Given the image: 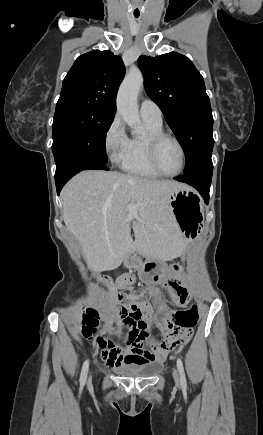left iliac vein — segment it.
I'll return each instance as SVG.
<instances>
[{
	"label": "left iliac vein",
	"mask_w": 263,
	"mask_h": 435,
	"mask_svg": "<svg viewBox=\"0 0 263 435\" xmlns=\"http://www.w3.org/2000/svg\"><path fill=\"white\" fill-rule=\"evenodd\" d=\"M173 378H174L175 383L178 385L179 384V375H178V372L175 368L173 369Z\"/></svg>",
	"instance_id": "obj_1"
}]
</instances>
